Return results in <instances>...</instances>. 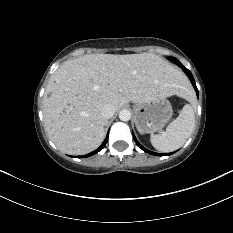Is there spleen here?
Instances as JSON below:
<instances>
[{"label": "spleen", "instance_id": "obj_1", "mask_svg": "<svg viewBox=\"0 0 233 233\" xmlns=\"http://www.w3.org/2000/svg\"><path fill=\"white\" fill-rule=\"evenodd\" d=\"M184 96L191 104H186L182 108L179 116L167 126L166 132L152 135L150 138L152 146L160 152H171L179 149L190 137L195 127L194 98L187 92Z\"/></svg>", "mask_w": 233, "mask_h": 233}]
</instances>
